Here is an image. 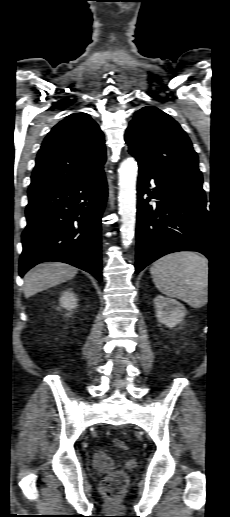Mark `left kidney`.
Returning a JSON list of instances; mask_svg holds the SVG:
<instances>
[{
  "instance_id": "left-kidney-1",
  "label": "left kidney",
  "mask_w": 230,
  "mask_h": 517,
  "mask_svg": "<svg viewBox=\"0 0 230 517\" xmlns=\"http://www.w3.org/2000/svg\"><path fill=\"white\" fill-rule=\"evenodd\" d=\"M154 305L159 322L170 328L179 324L186 314L185 307L175 299L157 296Z\"/></svg>"
}]
</instances>
